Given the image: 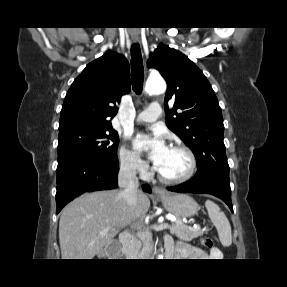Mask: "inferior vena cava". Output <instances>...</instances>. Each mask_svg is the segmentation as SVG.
Wrapping results in <instances>:
<instances>
[{
    "label": "inferior vena cava",
    "mask_w": 287,
    "mask_h": 287,
    "mask_svg": "<svg viewBox=\"0 0 287 287\" xmlns=\"http://www.w3.org/2000/svg\"><path fill=\"white\" fill-rule=\"evenodd\" d=\"M118 185L122 189L121 193L126 203L132 207H137V193L139 181L136 176V168L132 162H122L118 174Z\"/></svg>",
    "instance_id": "1"
}]
</instances>
